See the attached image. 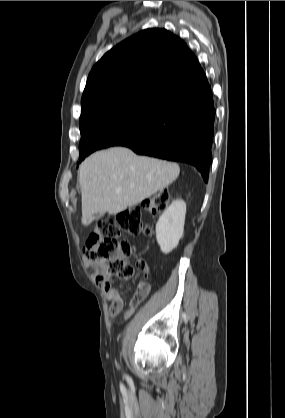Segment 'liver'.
I'll return each instance as SVG.
<instances>
[{
    "mask_svg": "<svg viewBox=\"0 0 285 418\" xmlns=\"http://www.w3.org/2000/svg\"><path fill=\"white\" fill-rule=\"evenodd\" d=\"M176 163L138 156L124 147L93 153L79 167L82 222L95 213L116 215L171 184Z\"/></svg>",
    "mask_w": 285,
    "mask_h": 418,
    "instance_id": "liver-1",
    "label": "liver"
}]
</instances>
